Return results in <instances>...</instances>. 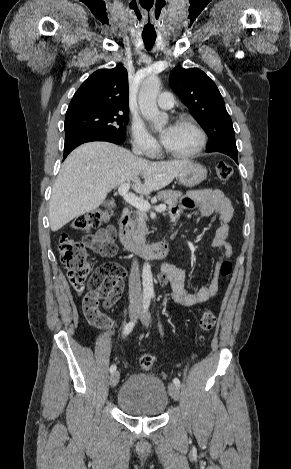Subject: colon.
I'll list each match as a JSON object with an SVG mask.
<instances>
[{
    "instance_id": "5ec220e1",
    "label": "colon",
    "mask_w": 291,
    "mask_h": 469,
    "mask_svg": "<svg viewBox=\"0 0 291 469\" xmlns=\"http://www.w3.org/2000/svg\"><path fill=\"white\" fill-rule=\"evenodd\" d=\"M219 180L227 181L233 175V169L226 162H219L215 167ZM111 210H94L77 217L73 227L80 232H89L108 222ZM88 236L83 240H77L68 234H64L59 241V252L62 264L67 270L71 285L78 291L85 290L83 298V312L87 321L93 326L107 328L111 326L109 319L101 310L115 302L121 291L123 278L126 276L125 269L117 263H106L91 273L86 248L92 240ZM116 245L111 242L108 252L115 254ZM232 271V263L228 260L221 265L220 272L227 276ZM216 325V316L212 309L205 308L199 319V328L202 333L211 331ZM202 338V336H201ZM140 367L148 371L153 367L154 357L146 354L140 358Z\"/></svg>"
}]
</instances>
